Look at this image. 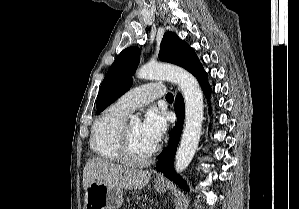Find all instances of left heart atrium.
I'll list each match as a JSON object with an SVG mask.
<instances>
[{
  "label": "left heart atrium",
  "instance_id": "1",
  "mask_svg": "<svg viewBox=\"0 0 299 209\" xmlns=\"http://www.w3.org/2000/svg\"><path fill=\"white\" fill-rule=\"evenodd\" d=\"M167 123L163 114L151 109L145 114L140 125V133L144 140L154 149L166 131Z\"/></svg>",
  "mask_w": 299,
  "mask_h": 209
}]
</instances>
